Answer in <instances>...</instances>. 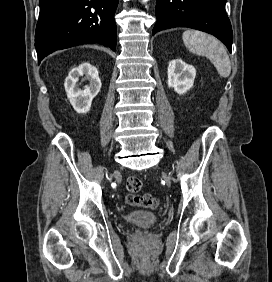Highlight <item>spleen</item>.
Returning a JSON list of instances; mask_svg holds the SVG:
<instances>
[{
	"label": "spleen",
	"instance_id": "1",
	"mask_svg": "<svg viewBox=\"0 0 272 282\" xmlns=\"http://www.w3.org/2000/svg\"><path fill=\"white\" fill-rule=\"evenodd\" d=\"M186 48L193 54L207 57L221 77L231 73V63L225 47L214 37L200 31L186 30L182 35Z\"/></svg>",
	"mask_w": 272,
	"mask_h": 282
}]
</instances>
